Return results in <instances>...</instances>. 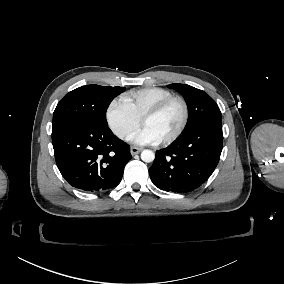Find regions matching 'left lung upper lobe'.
<instances>
[{
	"instance_id": "left-lung-upper-lobe-1",
	"label": "left lung upper lobe",
	"mask_w": 284,
	"mask_h": 284,
	"mask_svg": "<svg viewBox=\"0 0 284 284\" xmlns=\"http://www.w3.org/2000/svg\"><path fill=\"white\" fill-rule=\"evenodd\" d=\"M181 93L189 108V119L185 130L206 123H222L221 112L216 102L204 91L186 84L168 85Z\"/></svg>"
}]
</instances>
